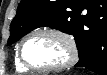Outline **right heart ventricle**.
Segmentation results:
<instances>
[{
  "mask_svg": "<svg viewBox=\"0 0 107 75\" xmlns=\"http://www.w3.org/2000/svg\"><path fill=\"white\" fill-rule=\"evenodd\" d=\"M15 67L20 72H26L29 70L24 65H22V63L20 62V60L18 58V53H16V55H15Z\"/></svg>",
  "mask_w": 107,
  "mask_h": 75,
  "instance_id": "obj_1",
  "label": "right heart ventricle"
}]
</instances>
